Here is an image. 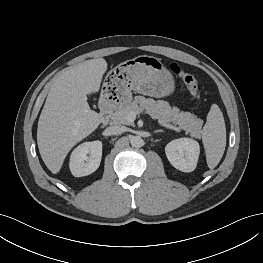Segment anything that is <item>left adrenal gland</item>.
Here are the masks:
<instances>
[{"instance_id": "a2214340", "label": "left adrenal gland", "mask_w": 263, "mask_h": 263, "mask_svg": "<svg viewBox=\"0 0 263 263\" xmlns=\"http://www.w3.org/2000/svg\"><path fill=\"white\" fill-rule=\"evenodd\" d=\"M159 132H163V130H156V131H154V133H159Z\"/></svg>"}]
</instances>
